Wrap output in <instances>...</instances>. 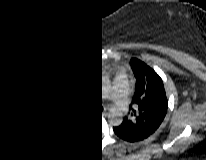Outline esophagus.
<instances>
[{"mask_svg": "<svg viewBox=\"0 0 206 160\" xmlns=\"http://www.w3.org/2000/svg\"><path fill=\"white\" fill-rule=\"evenodd\" d=\"M106 111H107V108L104 107L103 112H102L103 116H106Z\"/></svg>", "mask_w": 206, "mask_h": 160, "instance_id": "34e87169", "label": "esophagus"}]
</instances>
